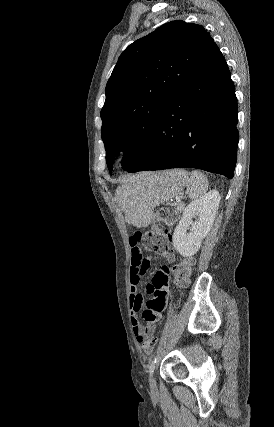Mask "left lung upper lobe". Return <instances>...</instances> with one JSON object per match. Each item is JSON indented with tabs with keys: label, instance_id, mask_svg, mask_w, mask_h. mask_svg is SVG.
<instances>
[{
	"label": "left lung upper lobe",
	"instance_id": "left-lung-upper-lobe-1",
	"mask_svg": "<svg viewBox=\"0 0 274 427\" xmlns=\"http://www.w3.org/2000/svg\"><path fill=\"white\" fill-rule=\"evenodd\" d=\"M213 43L203 26L176 20L123 51L107 82L100 113L110 173L120 151H125L124 170L144 153L168 106Z\"/></svg>",
	"mask_w": 274,
	"mask_h": 427
}]
</instances>
